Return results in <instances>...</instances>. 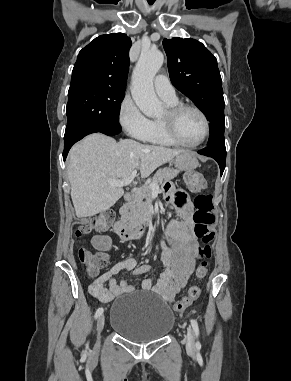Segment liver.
I'll use <instances>...</instances> for the list:
<instances>
[{"instance_id":"6515ba94","label":"liver","mask_w":291,"mask_h":381,"mask_svg":"<svg viewBox=\"0 0 291 381\" xmlns=\"http://www.w3.org/2000/svg\"><path fill=\"white\" fill-rule=\"evenodd\" d=\"M184 152L132 139L116 142L100 133L88 135L69 152L67 174L76 216L86 218L106 211L123 196V188L108 180L123 179L137 169L146 178Z\"/></svg>"}]
</instances>
